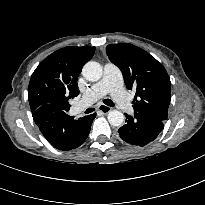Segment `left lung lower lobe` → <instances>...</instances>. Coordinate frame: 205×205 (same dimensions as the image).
Wrapping results in <instances>:
<instances>
[{
  "instance_id": "1",
  "label": "left lung lower lobe",
  "mask_w": 205,
  "mask_h": 205,
  "mask_svg": "<svg viewBox=\"0 0 205 205\" xmlns=\"http://www.w3.org/2000/svg\"><path fill=\"white\" fill-rule=\"evenodd\" d=\"M125 116L126 124L118 132L121 139L131 145L145 146L155 140L164 128V121L157 118L136 113L134 116L128 114H125Z\"/></svg>"
}]
</instances>
